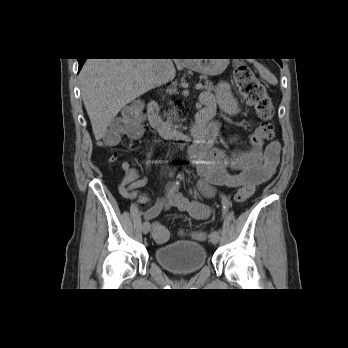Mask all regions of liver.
<instances>
[{"instance_id": "obj_1", "label": "liver", "mask_w": 348, "mask_h": 348, "mask_svg": "<svg viewBox=\"0 0 348 348\" xmlns=\"http://www.w3.org/2000/svg\"><path fill=\"white\" fill-rule=\"evenodd\" d=\"M169 59L162 83L174 79ZM83 103L96 140L127 104L158 85L154 59H88L80 72Z\"/></svg>"}]
</instances>
